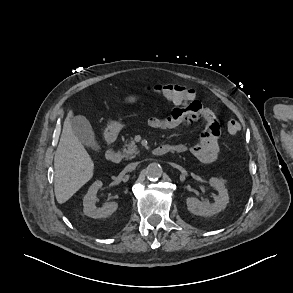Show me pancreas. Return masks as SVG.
<instances>
[{
    "label": "pancreas",
    "instance_id": "obj_1",
    "mask_svg": "<svg viewBox=\"0 0 293 293\" xmlns=\"http://www.w3.org/2000/svg\"><path fill=\"white\" fill-rule=\"evenodd\" d=\"M138 153V148L133 138H130L128 143L123 148L122 156L126 159H132Z\"/></svg>",
    "mask_w": 293,
    "mask_h": 293
}]
</instances>
